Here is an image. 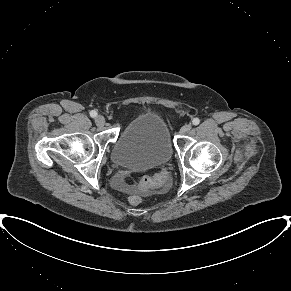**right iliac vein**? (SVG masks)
<instances>
[{
  "instance_id": "63e3f726",
  "label": "right iliac vein",
  "mask_w": 291,
  "mask_h": 291,
  "mask_svg": "<svg viewBox=\"0 0 291 291\" xmlns=\"http://www.w3.org/2000/svg\"><path fill=\"white\" fill-rule=\"evenodd\" d=\"M95 122L98 126H103L105 124V118L102 115H98L95 118Z\"/></svg>"
}]
</instances>
